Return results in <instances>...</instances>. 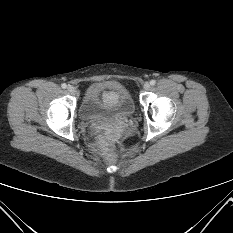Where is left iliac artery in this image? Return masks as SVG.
<instances>
[{"mask_svg":"<svg viewBox=\"0 0 233 233\" xmlns=\"http://www.w3.org/2000/svg\"><path fill=\"white\" fill-rule=\"evenodd\" d=\"M150 84L153 86V85L156 84V81H155V80H151V81H150Z\"/></svg>","mask_w":233,"mask_h":233,"instance_id":"left-iliac-artery-1","label":"left iliac artery"}]
</instances>
